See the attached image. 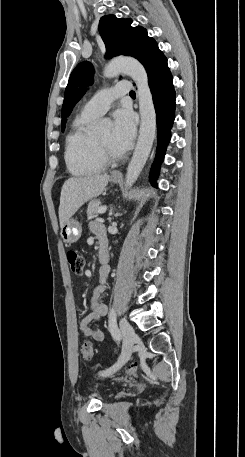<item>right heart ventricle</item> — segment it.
I'll list each match as a JSON object with an SVG mask.
<instances>
[{
    "instance_id": "obj_1",
    "label": "right heart ventricle",
    "mask_w": 245,
    "mask_h": 457,
    "mask_svg": "<svg viewBox=\"0 0 245 457\" xmlns=\"http://www.w3.org/2000/svg\"><path fill=\"white\" fill-rule=\"evenodd\" d=\"M93 118L81 115L70 126L66 137V161L73 174H84L103 168L104 164L96 162L89 155L88 141L91 136L89 127Z\"/></svg>"
}]
</instances>
